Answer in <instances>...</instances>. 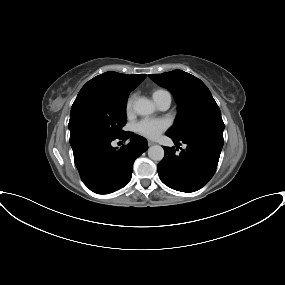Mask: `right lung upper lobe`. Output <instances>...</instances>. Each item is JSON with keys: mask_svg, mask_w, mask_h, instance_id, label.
<instances>
[{"mask_svg": "<svg viewBox=\"0 0 285 285\" xmlns=\"http://www.w3.org/2000/svg\"><path fill=\"white\" fill-rule=\"evenodd\" d=\"M146 75H126L117 72H106L88 81L80 90L78 97L86 93L100 96L126 98Z\"/></svg>", "mask_w": 285, "mask_h": 285, "instance_id": "obj_1", "label": "right lung upper lobe"}]
</instances>
